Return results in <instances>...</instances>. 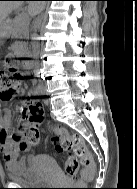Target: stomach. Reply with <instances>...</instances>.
I'll list each match as a JSON object with an SVG mask.
<instances>
[{
  "label": "stomach",
  "mask_w": 137,
  "mask_h": 189,
  "mask_svg": "<svg viewBox=\"0 0 137 189\" xmlns=\"http://www.w3.org/2000/svg\"><path fill=\"white\" fill-rule=\"evenodd\" d=\"M10 35V31L6 26H0V38H7Z\"/></svg>",
  "instance_id": "0dacf381"
}]
</instances>
